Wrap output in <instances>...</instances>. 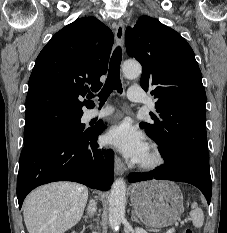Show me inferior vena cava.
Wrapping results in <instances>:
<instances>
[{
	"instance_id": "inferior-vena-cava-1",
	"label": "inferior vena cava",
	"mask_w": 227,
	"mask_h": 233,
	"mask_svg": "<svg viewBox=\"0 0 227 233\" xmlns=\"http://www.w3.org/2000/svg\"><path fill=\"white\" fill-rule=\"evenodd\" d=\"M96 211V203L94 201L90 202V205L88 206V212L92 215Z\"/></svg>"
}]
</instances>
